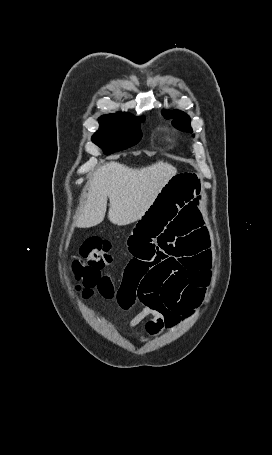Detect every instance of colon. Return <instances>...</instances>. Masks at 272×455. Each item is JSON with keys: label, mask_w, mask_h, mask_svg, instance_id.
<instances>
[{"label": "colon", "mask_w": 272, "mask_h": 455, "mask_svg": "<svg viewBox=\"0 0 272 455\" xmlns=\"http://www.w3.org/2000/svg\"><path fill=\"white\" fill-rule=\"evenodd\" d=\"M112 260L111 243L107 239L91 237L82 244L78 258L72 263V271L78 282L76 290L83 299H90L95 289L104 298L115 297L116 291L111 278L100 273Z\"/></svg>", "instance_id": "5ec220e1"}]
</instances>
